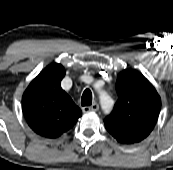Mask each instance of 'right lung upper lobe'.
Returning a JSON list of instances; mask_svg holds the SVG:
<instances>
[{"label":"right lung upper lobe","mask_w":173,"mask_h":170,"mask_svg":"<svg viewBox=\"0 0 173 170\" xmlns=\"http://www.w3.org/2000/svg\"><path fill=\"white\" fill-rule=\"evenodd\" d=\"M64 67L47 66L28 86L22 97L24 117L40 136L56 138L77 122L82 112L61 88Z\"/></svg>","instance_id":"cb5924a9"}]
</instances>
